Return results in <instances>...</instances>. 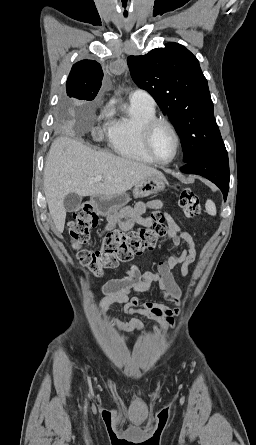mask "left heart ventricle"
Instances as JSON below:
<instances>
[{
  "mask_svg": "<svg viewBox=\"0 0 256 445\" xmlns=\"http://www.w3.org/2000/svg\"><path fill=\"white\" fill-rule=\"evenodd\" d=\"M152 147L155 155L161 160L173 157L176 142L172 132L164 125L158 126L152 136Z\"/></svg>",
  "mask_w": 256,
  "mask_h": 445,
  "instance_id": "b2bd125f",
  "label": "left heart ventricle"
}]
</instances>
